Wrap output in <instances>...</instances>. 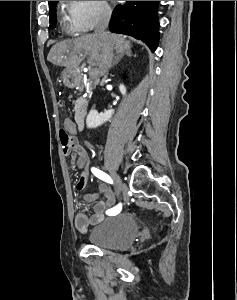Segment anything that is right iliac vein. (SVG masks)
<instances>
[{"instance_id": "obj_1", "label": "right iliac vein", "mask_w": 237, "mask_h": 300, "mask_svg": "<svg viewBox=\"0 0 237 300\" xmlns=\"http://www.w3.org/2000/svg\"><path fill=\"white\" fill-rule=\"evenodd\" d=\"M113 177H114V182H115L116 193L117 194H119L121 192L124 193L125 187L123 185L121 178L116 173H113Z\"/></svg>"}]
</instances>
